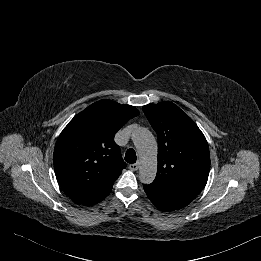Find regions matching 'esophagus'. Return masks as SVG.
I'll use <instances>...</instances> for the list:
<instances>
[{
  "mask_svg": "<svg viewBox=\"0 0 261 261\" xmlns=\"http://www.w3.org/2000/svg\"><path fill=\"white\" fill-rule=\"evenodd\" d=\"M138 168H139V162L133 163V164H130V165H129V169H130L131 171H137Z\"/></svg>",
  "mask_w": 261,
  "mask_h": 261,
  "instance_id": "34e87169",
  "label": "esophagus"
}]
</instances>
